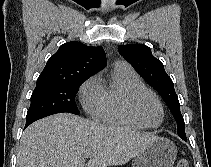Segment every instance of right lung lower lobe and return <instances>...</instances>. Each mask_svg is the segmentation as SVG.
Masks as SVG:
<instances>
[{
    "instance_id": "obj_1",
    "label": "right lung lower lobe",
    "mask_w": 211,
    "mask_h": 167,
    "mask_svg": "<svg viewBox=\"0 0 211 167\" xmlns=\"http://www.w3.org/2000/svg\"><path fill=\"white\" fill-rule=\"evenodd\" d=\"M28 125H30V124H26V125H25V128H26Z\"/></svg>"
}]
</instances>
